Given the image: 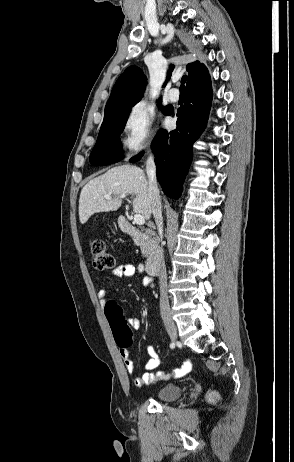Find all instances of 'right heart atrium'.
Wrapping results in <instances>:
<instances>
[{
  "label": "right heart atrium",
  "instance_id": "obj_1",
  "mask_svg": "<svg viewBox=\"0 0 294 462\" xmlns=\"http://www.w3.org/2000/svg\"><path fill=\"white\" fill-rule=\"evenodd\" d=\"M122 132L121 142L127 158L150 150L154 139L153 114L143 106L133 107L124 119Z\"/></svg>",
  "mask_w": 294,
  "mask_h": 462
}]
</instances>
